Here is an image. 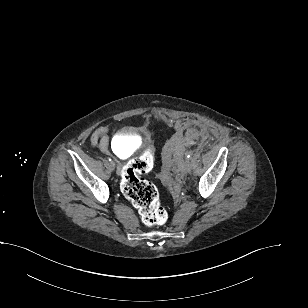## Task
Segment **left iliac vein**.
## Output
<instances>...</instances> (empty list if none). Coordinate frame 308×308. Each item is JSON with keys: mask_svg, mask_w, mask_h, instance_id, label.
Returning a JSON list of instances; mask_svg holds the SVG:
<instances>
[{"mask_svg": "<svg viewBox=\"0 0 308 308\" xmlns=\"http://www.w3.org/2000/svg\"><path fill=\"white\" fill-rule=\"evenodd\" d=\"M191 169V166H190V162L189 160H185L182 162L181 166H180V170L182 173H188Z\"/></svg>", "mask_w": 308, "mask_h": 308, "instance_id": "4c4485c4", "label": "left iliac vein"}]
</instances>
